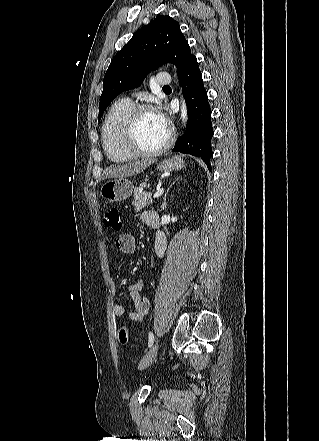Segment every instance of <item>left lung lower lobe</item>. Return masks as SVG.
I'll list each match as a JSON object with an SVG mask.
<instances>
[{
	"mask_svg": "<svg viewBox=\"0 0 319 441\" xmlns=\"http://www.w3.org/2000/svg\"><path fill=\"white\" fill-rule=\"evenodd\" d=\"M178 78L188 107L189 118L185 133L177 139L173 152L201 157L211 170L209 161L212 156L211 139L214 133L211 109L197 59L194 56L178 73Z\"/></svg>",
	"mask_w": 319,
	"mask_h": 441,
	"instance_id": "left-lung-lower-lobe-1",
	"label": "left lung lower lobe"
}]
</instances>
